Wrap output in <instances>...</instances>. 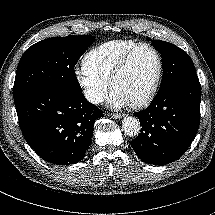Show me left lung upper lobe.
Listing matches in <instances>:
<instances>
[{"label": "left lung upper lobe", "instance_id": "1", "mask_svg": "<svg viewBox=\"0 0 215 215\" xmlns=\"http://www.w3.org/2000/svg\"><path fill=\"white\" fill-rule=\"evenodd\" d=\"M152 44L162 57L163 76L160 89L179 78L196 73L191 58L179 47L161 40H155Z\"/></svg>", "mask_w": 215, "mask_h": 215}]
</instances>
